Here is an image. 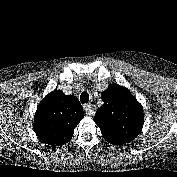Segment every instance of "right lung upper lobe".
<instances>
[{
    "label": "right lung upper lobe",
    "mask_w": 177,
    "mask_h": 177,
    "mask_svg": "<svg viewBox=\"0 0 177 177\" xmlns=\"http://www.w3.org/2000/svg\"><path fill=\"white\" fill-rule=\"evenodd\" d=\"M83 117L82 106L76 97L56 89L38 105L34 131L42 142L52 147L62 146L71 140L75 127Z\"/></svg>",
    "instance_id": "right-lung-upper-lobe-1"
}]
</instances>
